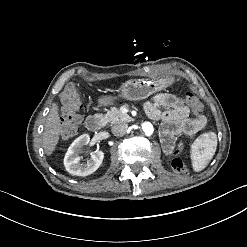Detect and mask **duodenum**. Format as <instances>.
<instances>
[{"label": "duodenum", "instance_id": "duodenum-1", "mask_svg": "<svg viewBox=\"0 0 247 247\" xmlns=\"http://www.w3.org/2000/svg\"><path fill=\"white\" fill-rule=\"evenodd\" d=\"M86 127L92 131H98L104 126V118L100 115H93L87 118Z\"/></svg>", "mask_w": 247, "mask_h": 247}]
</instances>
